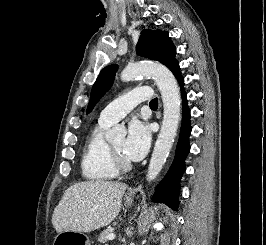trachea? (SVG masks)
<instances>
[{"instance_id":"3493384b","label":"trachea","mask_w":266,"mask_h":245,"mask_svg":"<svg viewBox=\"0 0 266 245\" xmlns=\"http://www.w3.org/2000/svg\"><path fill=\"white\" fill-rule=\"evenodd\" d=\"M152 105H158V99L157 98H153L151 101H150V106Z\"/></svg>"}]
</instances>
